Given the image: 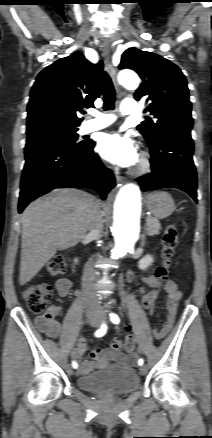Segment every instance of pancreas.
<instances>
[{"label":"pancreas","mask_w":212,"mask_h":438,"mask_svg":"<svg viewBox=\"0 0 212 438\" xmlns=\"http://www.w3.org/2000/svg\"><path fill=\"white\" fill-rule=\"evenodd\" d=\"M160 222L155 217H147L146 218V233L149 236L158 235L160 233Z\"/></svg>","instance_id":"cf45deb5"}]
</instances>
